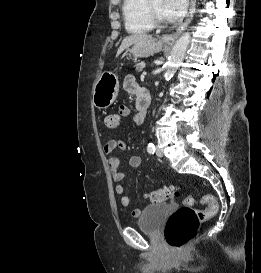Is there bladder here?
Returning a JSON list of instances; mask_svg holds the SVG:
<instances>
[{
    "label": "bladder",
    "mask_w": 261,
    "mask_h": 273,
    "mask_svg": "<svg viewBox=\"0 0 261 273\" xmlns=\"http://www.w3.org/2000/svg\"><path fill=\"white\" fill-rule=\"evenodd\" d=\"M168 211L169 205L166 203L145 206L137 221L139 229L149 234L159 233Z\"/></svg>",
    "instance_id": "1"
}]
</instances>
